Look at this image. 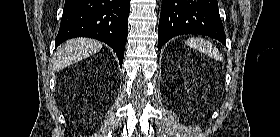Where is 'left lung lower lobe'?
I'll return each mask as SVG.
<instances>
[{
	"label": "left lung lower lobe",
	"instance_id": "left-lung-lower-lobe-1",
	"mask_svg": "<svg viewBox=\"0 0 280 137\" xmlns=\"http://www.w3.org/2000/svg\"><path fill=\"white\" fill-rule=\"evenodd\" d=\"M201 34L225 44L217 0H163L158 28L159 49L172 37Z\"/></svg>",
	"mask_w": 280,
	"mask_h": 137
}]
</instances>
